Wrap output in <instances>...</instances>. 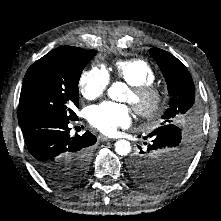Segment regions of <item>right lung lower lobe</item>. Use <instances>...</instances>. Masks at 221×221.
Listing matches in <instances>:
<instances>
[{"label": "right lung lower lobe", "instance_id": "98d812e1", "mask_svg": "<svg viewBox=\"0 0 221 221\" xmlns=\"http://www.w3.org/2000/svg\"><path fill=\"white\" fill-rule=\"evenodd\" d=\"M76 119L41 115L20 124L28 151L41 175L49 166L60 165L66 156L87 150L96 142L89 131L70 137L68 124Z\"/></svg>", "mask_w": 221, "mask_h": 221}]
</instances>
